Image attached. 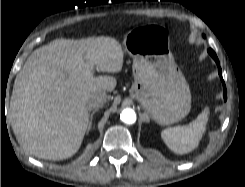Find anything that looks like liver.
<instances>
[{"label":"liver","instance_id":"obj_1","mask_svg":"<svg viewBox=\"0 0 245 187\" xmlns=\"http://www.w3.org/2000/svg\"><path fill=\"white\" fill-rule=\"evenodd\" d=\"M123 50L112 37L56 39L36 49L18 73L10 101L13 132L23 149L42 159L63 160L80 148L88 129L89 96L111 92Z\"/></svg>","mask_w":245,"mask_h":187}]
</instances>
